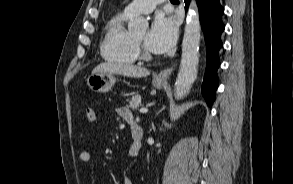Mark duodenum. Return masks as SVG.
Returning <instances> with one entry per match:
<instances>
[{
    "mask_svg": "<svg viewBox=\"0 0 293 184\" xmlns=\"http://www.w3.org/2000/svg\"><path fill=\"white\" fill-rule=\"evenodd\" d=\"M130 126H131L132 138H133V148H134V151L138 153L141 148L143 131H142V128L139 125H137L135 122L131 123Z\"/></svg>",
    "mask_w": 293,
    "mask_h": 184,
    "instance_id": "duodenum-1",
    "label": "duodenum"
}]
</instances>
